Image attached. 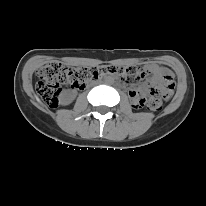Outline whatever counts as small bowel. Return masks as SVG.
I'll return each mask as SVG.
<instances>
[{
	"label": "small bowel",
	"instance_id": "1",
	"mask_svg": "<svg viewBox=\"0 0 206 206\" xmlns=\"http://www.w3.org/2000/svg\"><path fill=\"white\" fill-rule=\"evenodd\" d=\"M150 72L153 74V78L155 81H161L165 76L171 75L170 71L167 68L151 65ZM145 90V87H141L140 89H129V95L133 99V101Z\"/></svg>",
	"mask_w": 206,
	"mask_h": 206
}]
</instances>
